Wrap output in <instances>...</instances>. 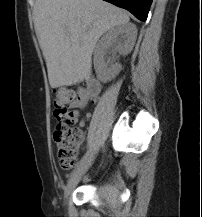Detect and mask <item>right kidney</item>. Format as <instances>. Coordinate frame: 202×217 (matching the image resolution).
<instances>
[{
	"mask_svg": "<svg viewBox=\"0 0 202 217\" xmlns=\"http://www.w3.org/2000/svg\"><path fill=\"white\" fill-rule=\"evenodd\" d=\"M137 37L136 26L132 23L118 25L110 29L98 42L94 53V68L97 78L106 83L114 79L122 67L119 63H106V50L113 48V53L122 55L130 53Z\"/></svg>",
	"mask_w": 202,
	"mask_h": 217,
	"instance_id": "1",
	"label": "right kidney"
}]
</instances>
